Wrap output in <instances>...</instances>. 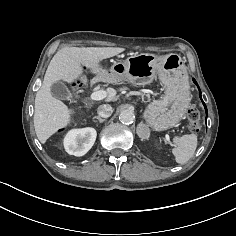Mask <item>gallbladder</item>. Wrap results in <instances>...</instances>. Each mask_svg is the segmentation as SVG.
I'll list each match as a JSON object with an SVG mask.
<instances>
[{
  "instance_id": "bac80fb5",
  "label": "gallbladder",
  "mask_w": 236,
  "mask_h": 236,
  "mask_svg": "<svg viewBox=\"0 0 236 236\" xmlns=\"http://www.w3.org/2000/svg\"><path fill=\"white\" fill-rule=\"evenodd\" d=\"M51 94L57 99L74 101L72 93L62 81L51 85Z\"/></svg>"
}]
</instances>
